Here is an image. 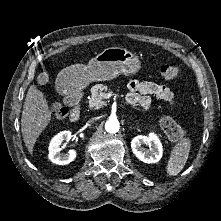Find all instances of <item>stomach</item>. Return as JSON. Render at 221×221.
Here are the masks:
<instances>
[{"mask_svg":"<svg viewBox=\"0 0 221 221\" xmlns=\"http://www.w3.org/2000/svg\"><path fill=\"white\" fill-rule=\"evenodd\" d=\"M140 68L138 56L125 48L110 47L97 54L87 65L66 67L59 73L58 81L68 91L75 92L85 88L90 82L136 74Z\"/></svg>","mask_w":221,"mask_h":221,"instance_id":"1","label":"stomach"}]
</instances>
